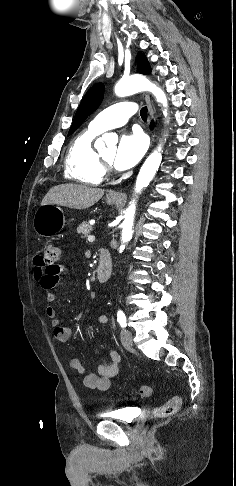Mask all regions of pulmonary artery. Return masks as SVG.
<instances>
[{
  "mask_svg": "<svg viewBox=\"0 0 236 486\" xmlns=\"http://www.w3.org/2000/svg\"><path fill=\"white\" fill-rule=\"evenodd\" d=\"M137 107L133 102H119L101 111L89 124V128L102 133L106 130L125 125L129 118L136 113Z\"/></svg>",
  "mask_w": 236,
  "mask_h": 486,
  "instance_id": "pulmonary-artery-1",
  "label": "pulmonary artery"
}]
</instances>
